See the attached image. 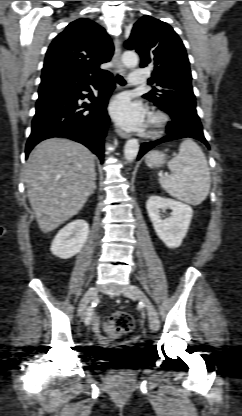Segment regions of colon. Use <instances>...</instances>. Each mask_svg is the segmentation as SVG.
Masks as SVG:
<instances>
[{
  "label": "colon",
  "instance_id": "5ec220e1",
  "mask_svg": "<svg viewBox=\"0 0 242 416\" xmlns=\"http://www.w3.org/2000/svg\"><path fill=\"white\" fill-rule=\"evenodd\" d=\"M133 328V317L124 311L114 312L110 315L106 323V329L111 336H121L127 334Z\"/></svg>",
  "mask_w": 242,
  "mask_h": 416
}]
</instances>
